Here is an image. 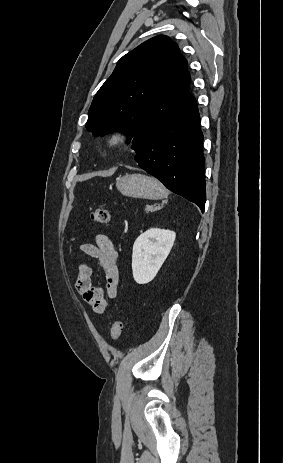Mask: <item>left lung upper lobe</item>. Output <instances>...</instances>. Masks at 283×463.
Listing matches in <instances>:
<instances>
[{
	"mask_svg": "<svg viewBox=\"0 0 283 463\" xmlns=\"http://www.w3.org/2000/svg\"><path fill=\"white\" fill-rule=\"evenodd\" d=\"M190 80L178 45L167 36L153 37L118 61L92 101L86 129L96 136L124 131L134 137L132 148L138 152L193 99Z\"/></svg>",
	"mask_w": 283,
	"mask_h": 463,
	"instance_id": "obj_1",
	"label": "left lung upper lobe"
}]
</instances>
